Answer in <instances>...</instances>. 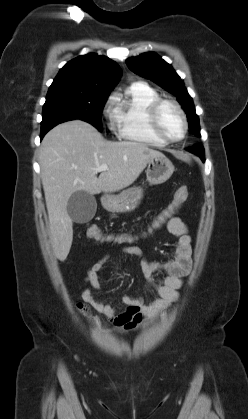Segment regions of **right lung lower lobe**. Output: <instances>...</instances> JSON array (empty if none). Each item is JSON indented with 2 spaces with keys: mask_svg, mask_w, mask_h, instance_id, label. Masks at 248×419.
<instances>
[{
  "mask_svg": "<svg viewBox=\"0 0 248 419\" xmlns=\"http://www.w3.org/2000/svg\"><path fill=\"white\" fill-rule=\"evenodd\" d=\"M70 120H74V119H60V120H55V121H52V122H50V123H48V124H46V125H42L41 126V135H40V139H42L43 137H44V135L51 129V128H53L54 126H56V125H58V124H60V123H63V122H66V121H70Z\"/></svg>",
  "mask_w": 248,
  "mask_h": 419,
  "instance_id": "obj_1",
  "label": "right lung lower lobe"
}]
</instances>
